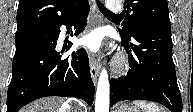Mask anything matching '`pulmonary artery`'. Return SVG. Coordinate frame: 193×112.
I'll use <instances>...</instances> for the list:
<instances>
[{
    "instance_id": "obj_1",
    "label": "pulmonary artery",
    "mask_w": 193,
    "mask_h": 112,
    "mask_svg": "<svg viewBox=\"0 0 193 112\" xmlns=\"http://www.w3.org/2000/svg\"><path fill=\"white\" fill-rule=\"evenodd\" d=\"M109 8L113 13L121 12V6L116 2H109Z\"/></svg>"
}]
</instances>
